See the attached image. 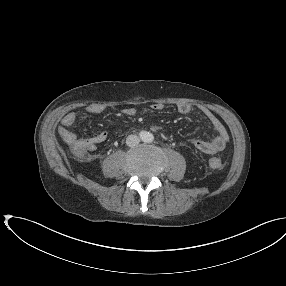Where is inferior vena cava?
<instances>
[{
	"mask_svg": "<svg viewBox=\"0 0 286 286\" xmlns=\"http://www.w3.org/2000/svg\"><path fill=\"white\" fill-rule=\"evenodd\" d=\"M140 142V139L137 135H129L127 138H126V144L129 146V147H134V146H137Z\"/></svg>",
	"mask_w": 286,
	"mask_h": 286,
	"instance_id": "inferior-vena-cava-1",
	"label": "inferior vena cava"
}]
</instances>
